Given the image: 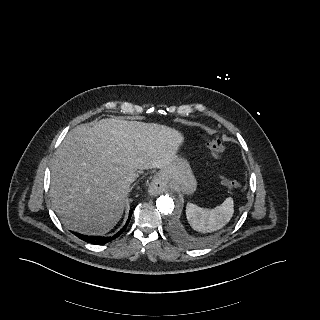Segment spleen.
Segmentation results:
<instances>
[{"label":"spleen","instance_id":"spleen-1","mask_svg":"<svg viewBox=\"0 0 320 320\" xmlns=\"http://www.w3.org/2000/svg\"><path fill=\"white\" fill-rule=\"evenodd\" d=\"M234 214L233 198L228 197L224 202L213 208H201L193 203H188L186 216L191 227L199 232H214L224 227Z\"/></svg>","mask_w":320,"mask_h":320}]
</instances>
